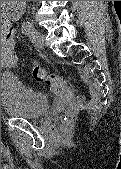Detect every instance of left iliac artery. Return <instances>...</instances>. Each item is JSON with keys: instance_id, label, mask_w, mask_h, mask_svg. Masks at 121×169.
Masks as SVG:
<instances>
[{"instance_id": "1", "label": "left iliac artery", "mask_w": 121, "mask_h": 169, "mask_svg": "<svg viewBox=\"0 0 121 169\" xmlns=\"http://www.w3.org/2000/svg\"><path fill=\"white\" fill-rule=\"evenodd\" d=\"M22 32L24 34L29 35L31 33V31L33 30V24L29 21H26L22 24Z\"/></svg>"}]
</instances>
